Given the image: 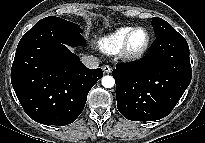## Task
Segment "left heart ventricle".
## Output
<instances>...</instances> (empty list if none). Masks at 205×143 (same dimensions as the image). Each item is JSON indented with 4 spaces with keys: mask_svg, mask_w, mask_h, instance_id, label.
<instances>
[{
    "mask_svg": "<svg viewBox=\"0 0 205 143\" xmlns=\"http://www.w3.org/2000/svg\"><path fill=\"white\" fill-rule=\"evenodd\" d=\"M147 34L144 30L135 32L130 41V49L132 51L139 50L146 42Z\"/></svg>",
    "mask_w": 205,
    "mask_h": 143,
    "instance_id": "b2bd125f",
    "label": "left heart ventricle"
}]
</instances>
